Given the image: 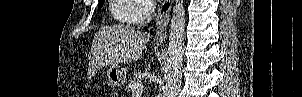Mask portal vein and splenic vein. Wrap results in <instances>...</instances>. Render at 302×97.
Segmentation results:
<instances>
[{
	"instance_id": "obj_1",
	"label": "portal vein and splenic vein",
	"mask_w": 302,
	"mask_h": 97,
	"mask_svg": "<svg viewBox=\"0 0 302 97\" xmlns=\"http://www.w3.org/2000/svg\"><path fill=\"white\" fill-rule=\"evenodd\" d=\"M144 85L142 83H138L133 88V94H140L143 92Z\"/></svg>"
}]
</instances>
